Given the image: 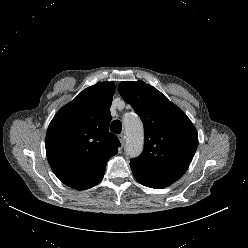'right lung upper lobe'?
Instances as JSON below:
<instances>
[{
	"label": "right lung upper lobe",
	"instance_id": "1",
	"mask_svg": "<svg viewBox=\"0 0 248 248\" xmlns=\"http://www.w3.org/2000/svg\"><path fill=\"white\" fill-rule=\"evenodd\" d=\"M113 82H98L62 107L49 124L46 154L54 174L65 185L85 190L98 184L120 142L109 132Z\"/></svg>",
	"mask_w": 248,
	"mask_h": 248
}]
</instances>
